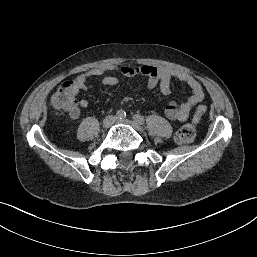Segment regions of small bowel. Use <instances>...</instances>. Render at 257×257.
Instances as JSON below:
<instances>
[{
	"instance_id": "1",
	"label": "small bowel",
	"mask_w": 257,
	"mask_h": 257,
	"mask_svg": "<svg viewBox=\"0 0 257 257\" xmlns=\"http://www.w3.org/2000/svg\"><path fill=\"white\" fill-rule=\"evenodd\" d=\"M117 70L123 77L132 78L135 76H145L147 78V86L149 89H157L162 95L167 96L171 93V84L173 80L179 81L187 85L191 94L181 103L170 101L166 105L165 115L169 120L184 122L190 113L196 108L192 117V121L198 124L206 112V106L202 104L204 99V90L201 83L191 74L168 67H154L151 65L142 66H103L94 68L86 73L78 75L72 82V91L74 95L80 91L90 89L91 81L97 79L103 86H116L121 83V80L115 76L109 75L111 71ZM89 105L86 99H81L78 102L77 109L74 112H69L72 119H77L81 115V110Z\"/></svg>"
}]
</instances>
